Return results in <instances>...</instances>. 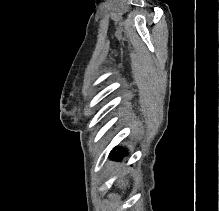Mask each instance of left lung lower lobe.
Segmentation results:
<instances>
[{"mask_svg": "<svg viewBox=\"0 0 219 211\" xmlns=\"http://www.w3.org/2000/svg\"><path fill=\"white\" fill-rule=\"evenodd\" d=\"M118 151L119 152L111 151L112 159H114V160H122L123 155H127L128 154L127 151H125L123 148H119Z\"/></svg>", "mask_w": 219, "mask_h": 211, "instance_id": "0a47b994", "label": "left lung lower lobe"}]
</instances>
